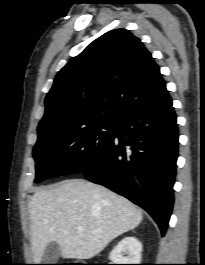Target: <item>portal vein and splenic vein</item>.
<instances>
[{"mask_svg":"<svg viewBox=\"0 0 205 265\" xmlns=\"http://www.w3.org/2000/svg\"><path fill=\"white\" fill-rule=\"evenodd\" d=\"M77 230H78V232H82L83 231V227L79 226V227H77Z\"/></svg>","mask_w":205,"mask_h":265,"instance_id":"portal-vein-and-splenic-vein-1","label":"portal vein and splenic vein"}]
</instances>
